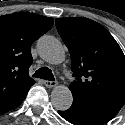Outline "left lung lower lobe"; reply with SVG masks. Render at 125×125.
Returning a JSON list of instances; mask_svg holds the SVG:
<instances>
[{
  "instance_id": "0a47b994",
  "label": "left lung lower lobe",
  "mask_w": 125,
  "mask_h": 125,
  "mask_svg": "<svg viewBox=\"0 0 125 125\" xmlns=\"http://www.w3.org/2000/svg\"><path fill=\"white\" fill-rule=\"evenodd\" d=\"M122 107L112 103L72 104L59 115L74 125H103L113 119Z\"/></svg>"
}]
</instances>
